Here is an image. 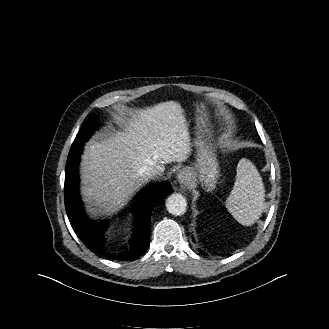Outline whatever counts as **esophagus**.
Instances as JSON below:
<instances>
[{"label": "esophagus", "instance_id": "34e87169", "mask_svg": "<svg viewBox=\"0 0 329 329\" xmlns=\"http://www.w3.org/2000/svg\"><path fill=\"white\" fill-rule=\"evenodd\" d=\"M177 180L179 184L184 188L190 184V177L185 171H182L177 175Z\"/></svg>", "mask_w": 329, "mask_h": 329}]
</instances>
